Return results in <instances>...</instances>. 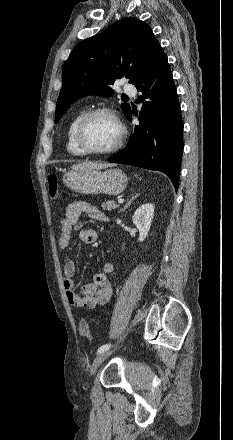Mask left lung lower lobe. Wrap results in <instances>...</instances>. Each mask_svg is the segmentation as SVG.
Returning <instances> with one entry per match:
<instances>
[{
    "instance_id": "1",
    "label": "left lung lower lobe",
    "mask_w": 233,
    "mask_h": 440,
    "mask_svg": "<svg viewBox=\"0 0 233 440\" xmlns=\"http://www.w3.org/2000/svg\"><path fill=\"white\" fill-rule=\"evenodd\" d=\"M136 88L143 103L139 125H135L128 145L112 155L109 162L122 163L165 173L176 190L183 152V122L172 72L165 53L154 59ZM132 119V111L127 115Z\"/></svg>"
}]
</instances>
